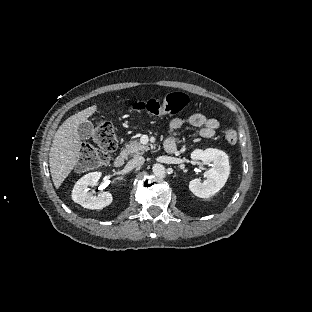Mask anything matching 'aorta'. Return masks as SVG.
<instances>
[{"label":"aorta","instance_id":"762f6f07","mask_svg":"<svg viewBox=\"0 0 312 312\" xmlns=\"http://www.w3.org/2000/svg\"><path fill=\"white\" fill-rule=\"evenodd\" d=\"M152 170L156 177L164 178L166 175L165 167L162 164L159 163L154 164Z\"/></svg>","mask_w":312,"mask_h":312}]
</instances>
